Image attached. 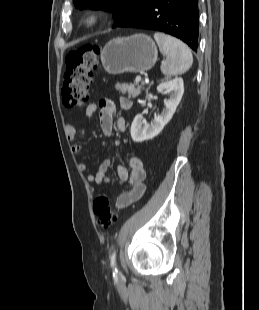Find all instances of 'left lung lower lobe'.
Here are the masks:
<instances>
[{"instance_id":"obj_1","label":"left lung lower lobe","mask_w":259,"mask_h":310,"mask_svg":"<svg viewBox=\"0 0 259 310\" xmlns=\"http://www.w3.org/2000/svg\"><path fill=\"white\" fill-rule=\"evenodd\" d=\"M116 27L162 31L197 51L198 0H152Z\"/></svg>"}]
</instances>
